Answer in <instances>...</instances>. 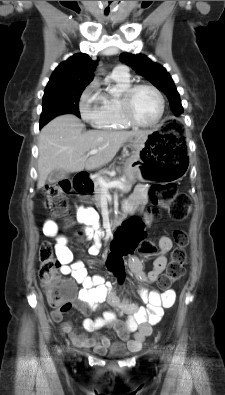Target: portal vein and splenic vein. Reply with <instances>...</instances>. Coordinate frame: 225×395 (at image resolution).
Masks as SVG:
<instances>
[{"mask_svg":"<svg viewBox=\"0 0 225 395\" xmlns=\"http://www.w3.org/2000/svg\"><path fill=\"white\" fill-rule=\"evenodd\" d=\"M100 150L101 149H93L87 154V156L97 154ZM98 182L100 183V185L103 188V190H107L109 188H119V189H124L125 188L124 184L121 183L118 180H113V181L106 182L105 180H103L99 176L98 177Z\"/></svg>","mask_w":225,"mask_h":395,"instance_id":"18ae733b","label":"portal vein and splenic vein"}]
</instances>
